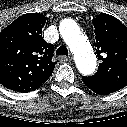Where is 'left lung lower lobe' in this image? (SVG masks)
<instances>
[{
    "label": "left lung lower lobe",
    "instance_id": "obj_1",
    "mask_svg": "<svg viewBox=\"0 0 127 127\" xmlns=\"http://www.w3.org/2000/svg\"><path fill=\"white\" fill-rule=\"evenodd\" d=\"M82 81L89 89L100 95H107L122 88L111 81L95 77H83Z\"/></svg>",
    "mask_w": 127,
    "mask_h": 127
}]
</instances>
